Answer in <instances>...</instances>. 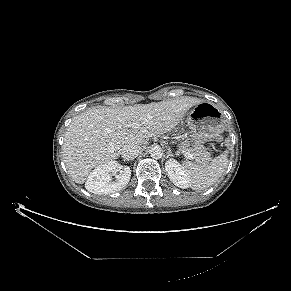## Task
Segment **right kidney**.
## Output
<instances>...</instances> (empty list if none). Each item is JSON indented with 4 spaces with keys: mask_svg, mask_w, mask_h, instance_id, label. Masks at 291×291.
<instances>
[{
    "mask_svg": "<svg viewBox=\"0 0 291 291\" xmlns=\"http://www.w3.org/2000/svg\"><path fill=\"white\" fill-rule=\"evenodd\" d=\"M113 174L116 175V181H112ZM130 177L131 170L128 166L123 167L117 161H110L99 165L90 173L85 188L95 194H110L124 188Z\"/></svg>",
    "mask_w": 291,
    "mask_h": 291,
    "instance_id": "1",
    "label": "right kidney"
}]
</instances>
